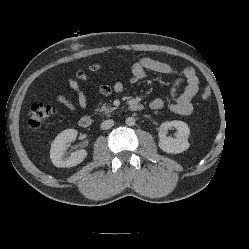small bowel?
<instances>
[{"instance_id":"obj_1","label":"small bowel","mask_w":249,"mask_h":249,"mask_svg":"<svg viewBox=\"0 0 249 249\" xmlns=\"http://www.w3.org/2000/svg\"><path fill=\"white\" fill-rule=\"evenodd\" d=\"M88 69L91 72L98 73L103 70L101 63L95 62L89 65ZM149 71L160 74L173 75L175 80L169 91L170 109L174 113L182 116L190 115L193 112L192 99L195 97L199 90V79L196 71L192 67L183 69L181 73L171 65L154 60L152 58H142L135 62L131 67L130 81L135 83L142 79L149 78ZM79 81L93 84V81L83 70H77L75 78H69L67 83L69 87L75 92L77 105L71 100L61 94H56V101L71 111H76L77 107L86 109L88 107V99L81 88ZM186 84L184 91L181 94L177 93L178 87L182 84ZM100 94L104 96H110L113 93H120L124 89V84L121 81H116L112 85L101 84L97 86ZM164 100L161 98H154L150 101L149 107L152 110H160L164 107Z\"/></svg>"}]
</instances>
